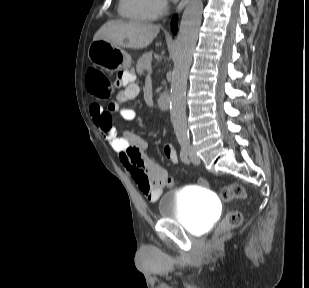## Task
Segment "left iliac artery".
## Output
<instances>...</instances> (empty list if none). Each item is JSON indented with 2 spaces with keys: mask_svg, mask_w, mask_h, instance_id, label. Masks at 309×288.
Listing matches in <instances>:
<instances>
[{
  "mask_svg": "<svg viewBox=\"0 0 309 288\" xmlns=\"http://www.w3.org/2000/svg\"><path fill=\"white\" fill-rule=\"evenodd\" d=\"M181 143V151H180V158L183 162L188 163V151L190 148V141L188 138H182L180 140Z\"/></svg>",
  "mask_w": 309,
  "mask_h": 288,
  "instance_id": "1",
  "label": "left iliac artery"
}]
</instances>
